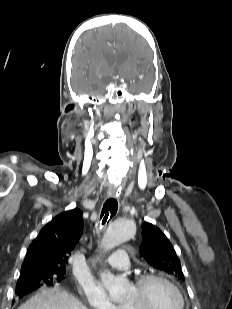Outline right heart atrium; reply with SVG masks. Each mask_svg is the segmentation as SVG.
Returning a JSON list of instances; mask_svg holds the SVG:
<instances>
[{"label": "right heart atrium", "mask_w": 232, "mask_h": 309, "mask_svg": "<svg viewBox=\"0 0 232 309\" xmlns=\"http://www.w3.org/2000/svg\"><path fill=\"white\" fill-rule=\"evenodd\" d=\"M86 304L93 309H119L102 288L97 285H89L83 289Z\"/></svg>", "instance_id": "d8ad5b80"}]
</instances>
